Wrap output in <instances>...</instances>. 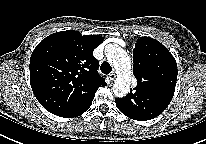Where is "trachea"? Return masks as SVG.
Here are the masks:
<instances>
[{
    "label": "trachea",
    "instance_id": "3493384b",
    "mask_svg": "<svg viewBox=\"0 0 206 144\" xmlns=\"http://www.w3.org/2000/svg\"><path fill=\"white\" fill-rule=\"evenodd\" d=\"M100 69L102 71V73L104 74H109L112 71V67L110 66V64L106 61H104L101 66Z\"/></svg>",
    "mask_w": 206,
    "mask_h": 144
}]
</instances>
